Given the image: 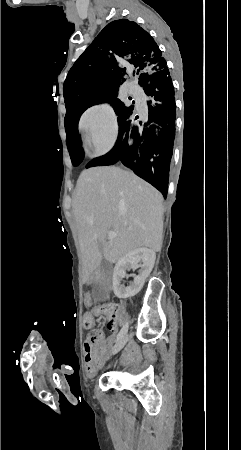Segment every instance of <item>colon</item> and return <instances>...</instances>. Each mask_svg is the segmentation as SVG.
Segmentation results:
<instances>
[{
  "mask_svg": "<svg viewBox=\"0 0 241 450\" xmlns=\"http://www.w3.org/2000/svg\"><path fill=\"white\" fill-rule=\"evenodd\" d=\"M121 309L122 308L119 305L118 301L110 300L107 306L96 308L94 313L98 317L106 314H109L110 316H115L118 312L121 311ZM94 313L91 311L90 313L84 314V316H81L79 318V323L81 325H84V328L86 329L93 328V320L95 321L97 319L95 316L93 317Z\"/></svg>",
  "mask_w": 241,
  "mask_h": 450,
  "instance_id": "1",
  "label": "colon"
}]
</instances>
